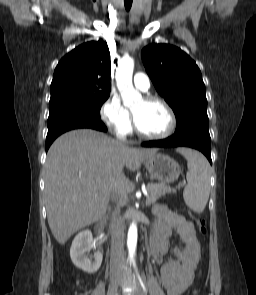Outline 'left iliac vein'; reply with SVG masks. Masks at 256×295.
I'll use <instances>...</instances> for the list:
<instances>
[{"label":"left iliac vein","mask_w":256,"mask_h":295,"mask_svg":"<svg viewBox=\"0 0 256 295\" xmlns=\"http://www.w3.org/2000/svg\"><path fill=\"white\" fill-rule=\"evenodd\" d=\"M126 278H128L129 281H126ZM120 284L134 287V295H145L142 289L140 288L138 282L136 281L133 272L130 269H127L125 271Z\"/></svg>","instance_id":"4c4485c4"}]
</instances>
